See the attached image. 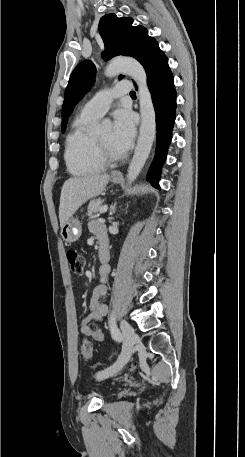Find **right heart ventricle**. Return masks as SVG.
<instances>
[{
	"mask_svg": "<svg viewBox=\"0 0 245 457\" xmlns=\"http://www.w3.org/2000/svg\"><path fill=\"white\" fill-rule=\"evenodd\" d=\"M93 121V118L81 115L73 121L68 131L65 158L68 168L75 175L97 171L103 167L88 155L87 141L92 133L90 127Z\"/></svg>",
	"mask_w": 245,
	"mask_h": 457,
	"instance_id": "1",
	"label": "right heart ventricle"
}]
</instances>
